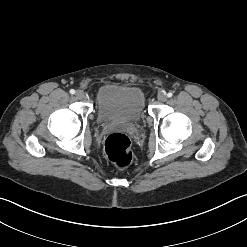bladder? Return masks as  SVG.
I'll return each instance as SVG.
<instances>
[{
  "mask_svg": "<svg viewBox=\"0 0 247 247\" xmlns=\"http://www.w3.org/2000/svg\"><path fill=\"white\" fill-rule=\"evenodd\" d=\"M97 119L106 122H138L145 112V97L135 86L105 84L96 96Z\"/></svg>",
  "mask_w": 247,
  "mask_h": 247,
  "instance_id": "1",
  "label": "bladder"
}]
</instances>
